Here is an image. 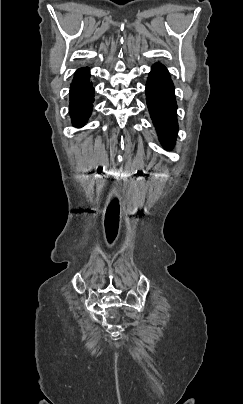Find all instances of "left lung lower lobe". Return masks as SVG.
Instances as JSON below:
<instances>
[{
    "mask_svg": "<svg viewBox=\"0 0 243 404\" xmlns=\"http://www.w3.org/2000/svg\"><path fill=\"white\" fill-rule=\"evenodd\" d=\"M146 100L161 143L165 149H171L178 131L177 104L169 72L160 63H155L149 73Z\"/></svg>",
    "mask_w": 243,
    "mask_h": 404,
    "instance_id": "0a47b994",
    "label": "left lung lower lobe"
}]
</instances>
